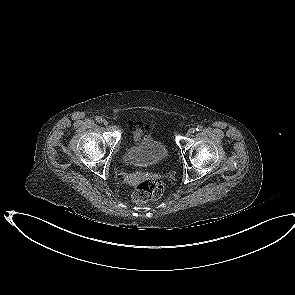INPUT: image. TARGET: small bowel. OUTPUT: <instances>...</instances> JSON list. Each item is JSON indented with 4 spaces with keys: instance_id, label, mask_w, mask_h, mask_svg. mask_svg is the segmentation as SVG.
I'll list each match as a JSON object with an SVG mask.
<instances>
[{
    "instance_id": "c3829d8e",
    "label": "small bowel",
    "mask_w": 295,
    "mask_h": 295,
    "mask_svg": "<svg viewBox=\"0 0 295 295\" xmlns=\"http://www.w3.org/2000/svg\"><path fill=\"white\" fill-rule=\"evenodd\" d=\"M144 136V131L140 126H137L132 131V139L135 143H139ZM149 174L147 172H140L136 175H128L126 177V183L128 185L139 184L147 181Z\"/></svg>"
}]
</instances>
